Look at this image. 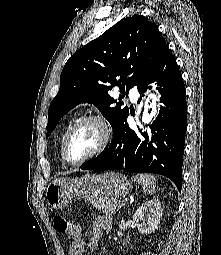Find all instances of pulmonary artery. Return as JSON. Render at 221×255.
<instances>
[{"mask_svg": "<svg viewBox=\"0 0 221 255\" xmlns=\"http://www.w3.org/2000/svg\"><path fill=\"white\" fill-rule=\"evenodd\" d=\"M129 95H130V97H131L132 100H136L138 93H137V91H136L135 88L130 87V89H129Z\"/></svg>", "mask_w": 221, "mask_h": 255, "instance_id": "1", "label": "pulmonary artery"}]
</instances>
